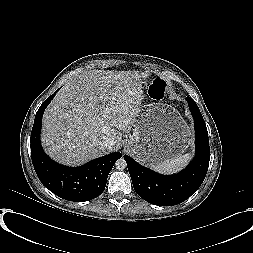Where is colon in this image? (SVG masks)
<instances>
[{
  "instance_id": "colon-1",
  "label": "colon",
  "mask_w": 253,
  "mask_h": 253,
  "mask_svg": "<svg viewBox=\"0 0 253 253\" xmlns=\"http://www.w3.org/2000/svg\"><path fill=\"white\" fill-rule=\"evenodd\" d=\"M149 94L151 98L156 101L165 99L168 94V86L166 82L161 79L152 81L149 86Z\"/></svg>"
}]
</instances>
